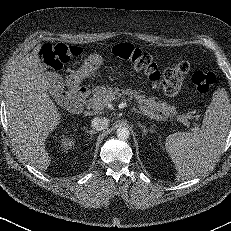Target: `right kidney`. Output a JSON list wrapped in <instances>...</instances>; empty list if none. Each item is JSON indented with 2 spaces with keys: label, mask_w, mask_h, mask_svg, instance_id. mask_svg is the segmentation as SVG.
<instances>
[{
  "label": "right kidney",
  "mask_w": 231,
  "mask_h": 231,
  "mask_svg": "<svg viewBox=\"0 0 231 231\" xmlns=\"http://www.w3.org/2000/svg\"><path fill=\"white\" fill-rule=\"evenodd\" d=\"M61 143H62V147L66 150L75 146V141L73 139H69L66 137L62 139Z\"/></svg>",
  "instance_id": "right-kidney-1"
}]
</instances>
